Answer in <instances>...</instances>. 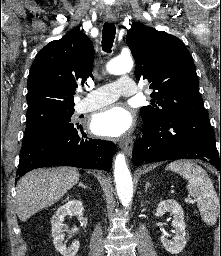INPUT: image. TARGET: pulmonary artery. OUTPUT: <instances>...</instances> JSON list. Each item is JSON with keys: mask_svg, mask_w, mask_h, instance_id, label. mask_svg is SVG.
<instances>
[{"mask_svg": "<svg viewBox=\"0 0 221 256\" xmlns=\"http://www.w3.org/2000/svg\"><path fill=\"white\" fill-rule=\"evenodd\" d=\"M137 92L134 81L129 77H121L117 81L105 84L88 93L77 105V113L96 110L116 101L120 96H131Z\"/></svg>", "mask_w": 221, "mask_h": 256, "instance_id": "obj_1", "label": "pulmonary artery"}]
</instances>
